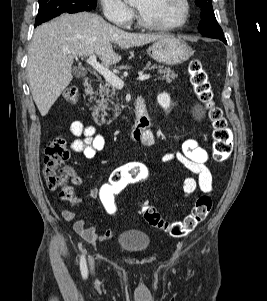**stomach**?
I'll list each match as a JSON object with an SVG mask.
<instances>
[{
  "mask_svg": "<svg viewBox=\"0 0 267 301\" xmlns=\"http://www.w3.org/2000/svg\"><path fill=\"white\" fill-rule=\"evenodd\" d=\"M147 53L159 63L177 65L187 61L194 51L184 40L172 36H164L153 43L147 49Z\"/></svg>",
  "mask_w": 267,
  "mask_h": 301,
  "instance_id": "0dacf381",
  "label": "stomach"
}]
</instances>
